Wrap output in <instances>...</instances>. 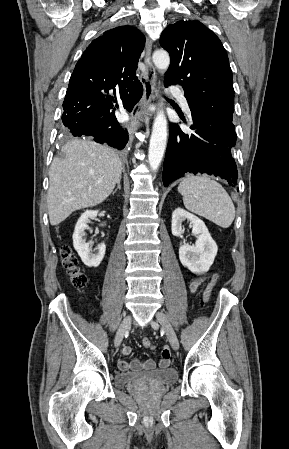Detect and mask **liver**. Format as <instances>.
<instances>
[{
	"label": "liver",
	"mask_w": 289,
	"mask_h": 449,
	"mask_svg": "<svg viewBox=\"0 0 289 449\" xmlns=\"http://www.w3.org/2000/svg\"><path fill=\"white\" fill-rule=\"evenodd\" d=\"M49 170L47 208L56 226L72 212L102 203L121 178L122 161L107 146L74 139L66 143Z\"/></svg>",
	"instance_id": "1"
}]
</instances>
